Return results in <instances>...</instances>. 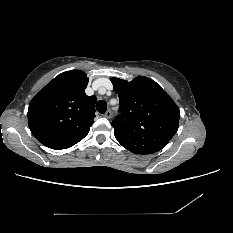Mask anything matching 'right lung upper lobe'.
I'll list each match as a JSON object with an SVG mask.
<instances>
[{"instance_id":"cb5924a9","label":"right lung upper lobe","mask_w":233,"mask_h":233,"mask_svg":"<svg viewBox=\"0 0 233 233\" xmlns=\"http://www.w3.org/2000/svg\"><path fill=\"white\" fill-rule=\"evenodd\" d=\"M89 79L80 70L64 72L31 100L28 124L43 145L60 150L87 136L94 122L96 96H87Z\"/></svg>"}]
</instances>
